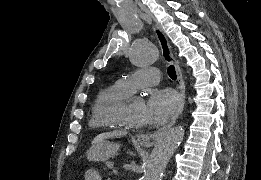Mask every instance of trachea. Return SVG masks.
Returning a JSON list of instances; mask_svg holds the SVG:
<instances>
[{
  "instance_id": "1",
  "label": "trachea",
  "mask_w": 261,
  "mask_h": 180,
  "mask_svg": "<svg viewBox=\"0 0 261 180\" xmlns=\"http://www.w3.org/2000/svg\"><path fill=\"white\" fill-rule=\"evenodd\" d=\"M167 73H168L169 77L172 78V80L176 79V71H175V67L173 65H170L168 67Z\"/></svg>"
}]
</instances>
